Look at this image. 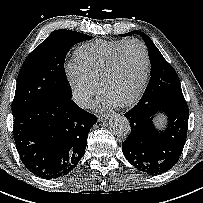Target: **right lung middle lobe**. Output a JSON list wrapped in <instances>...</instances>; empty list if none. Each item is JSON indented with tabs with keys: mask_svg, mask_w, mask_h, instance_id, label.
Here are the masks:
<instances>
[{
	"mask_svg": "<svg viewBox=\"0 0 203 203\" xmlns=\"http://www.w3.org/2000/svg\"><path fill=\"white\" fill-rule=\"evenodd\" d=\"M92 36L66 29L53 31L24 61L16 84L13 116L37 105L72 95L64 75V60L76 43Z\"/></svg>",
	"mask_w": 203,
	"mask_h": 203,
	"instance_id": "obj_1",
	"label": "right lung middle lobe"
}]
</instances>
